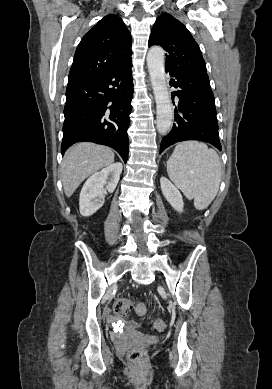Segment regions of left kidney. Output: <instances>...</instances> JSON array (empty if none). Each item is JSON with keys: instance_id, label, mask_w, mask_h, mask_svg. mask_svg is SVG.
Listing matches in <instances>:
<instances>
[{"instance_id": "1", "label": "left kidney", "mask_w": 272, "mask_h": 389, "mask_svg": "<svg viewBox=\"0 0 272 389\" xmlns=\"http://www.w3.org/2000/svg\"><path fill=\"white\" fill-rule=\"evenodd\" d=\"M161 190L169 204L178 212H183V199L180 191L166 177L160 179Z\"/></svg>"}]
</instances>
